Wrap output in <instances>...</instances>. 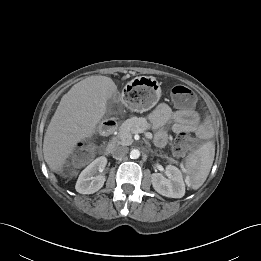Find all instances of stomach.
<instances>
[{
	"label": "stomach",
	"mask_w": 261,
	"mask_h": 261,
	"mask_svg": "<svg viewBox=\"0 0 261 261\" xmlns=\"http://www.w3.org/2000/svg\"><path fill=\"white\" fill-rule=\"evenodd\" d=\"M161 96L160 84L152 77H136L122 92V102L130 110L143 113L150 110Z\"/></svg>",
	"instance_id": "stomach-1"
}]
</instances>
